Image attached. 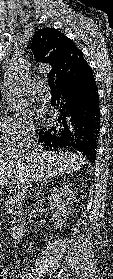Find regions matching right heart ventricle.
I'll return each mask as SVG.
<instances>
[{
	"mask_svg": "<svg viewBox=\"0 0 113 279\" xmlns=\"http://www.w3.org/2000/svg\"><path fill=\"white\" fill-rule=\"evenodd\" d=\"M10 142V137L6 125V117L0 113V146Z\"/></svg>",
	"mask_w": 113,
	"mask_h": 279,
	"instance_id": "1",
	"label": "right heart ventricle"
}]
</instances>
